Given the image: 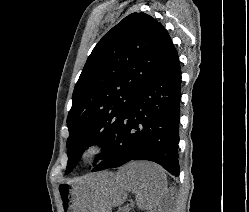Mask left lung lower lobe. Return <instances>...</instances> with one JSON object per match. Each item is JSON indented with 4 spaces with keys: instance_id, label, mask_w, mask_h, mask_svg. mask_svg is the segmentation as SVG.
<instances>
[{
    "instance_id": "obj_1",
    "label": "left lung lower lobe",
    "mask_w": 249,
    "mask_h": 212,
    "mask_svg": "<svg viewBox=\"0 0 249 212\" xmlns=\"http://www.w3.org/2000/svg\"><path fill=\"white\" fill-rule=\"evenodd\" d=\"M180 85L179 58L172 45L131 100L113 145L92 172L149 160L178 176Z\"/></svg>"
}]
</instances>
